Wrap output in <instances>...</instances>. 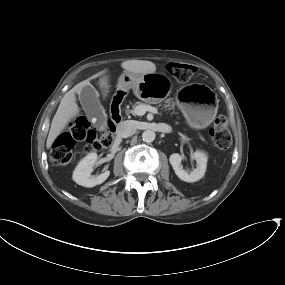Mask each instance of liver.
Returning a JSON list of instances; mask_svg holds the SVG:
<instances>
[{"mask_svg": "<svg viewBox=\"0 0 285 285\" xmlns=\"http://www.w3.org/2000/svg\"><path fill=\"white\" fill-rule=\"evenodd\" d=\"M121 67L134 74H148L156 71V65L153 62L145 60H127L121 63ZM105 73L106 70H103L91 78L78 83L64 95L51 123L46 141V147L48 149L52 146L59 134L66 128L67 124L79 114V107L76 103V93L80 94L82 87L86 84H90V79L96 78ZM99 85L101 88L105 89L104 95H106V89L108 88L107 77L101 78Z\"/></svg>", "mask_w": 285, "mask_h": 285, "instance_id": "obj_1", "label": "liver"}]
</instances>
